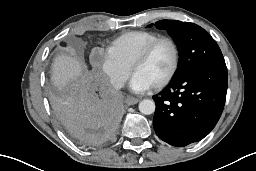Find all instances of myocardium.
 <instances>
[{
	"label": "myocardium",
	"instance_id": "f54148a6",
	"mask_svg": "<svg viewBox=\"0 0 256 171\" xmlns=\"http://www.w3.org/2000/svg\"><path fill=\"white\" fill-rule=\"evenodd\" d=\"M162 42H167L171 45L173 49V64L168 75L162 81L150 87L153 90H159L164 88L172 81V79L176 75L179 68V62H180V52H179L177 43L170 37H166V36L158 37L157 39L147 44L139 52V54L134 58L130 66V70L134 74L136 68L142 63H144L148 59L152 51L155 49V47Z\"/></svg>",
	"mask_w": 256,
	"mask_h": 171
}]
</instances>
